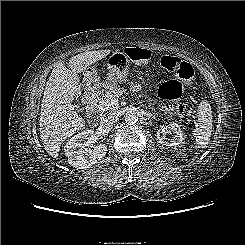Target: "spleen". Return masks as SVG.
I'll return each mask as SVG.
<instances>
[{
    "label": "spleen",
    "mask_w": 245,
    "mask_h": 245,
    "mask_svg": "<svg viewBox=\"0 0 245 245\" xmlns=\"http://www.w3.org/2000/svg\"><path fill=\"white\" fill-rule=\"evenodd\" d=\"M198 121L194 129V137L196 144L199 148H205L212 134V111L211 106L207 100H202L199 104L198 110Z\"/></svg>",
    "instance_id": "spleen-1"
}]
</instances>
